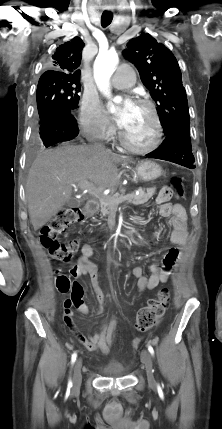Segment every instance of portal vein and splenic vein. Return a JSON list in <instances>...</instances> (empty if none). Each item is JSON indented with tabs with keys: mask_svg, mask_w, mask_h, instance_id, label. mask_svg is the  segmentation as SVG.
I'll return each instance as SVG.
<instances>
[{
	"mask_svg": "<svg viewBox=\"0 0 222 429\" xmlns=\"http://www.w3.org/2000/svg\"><path fill=\"white\" fill-rule=\"evenodd\" d=\"M75 187V185H72ZM79 188H81L82 190H85L86 192H88L89 194H91L92 196L96 197V198H101L102 196H104L103 193V189L101 188H97L95 187L93 184L89 183L88 181H82L78 184ZM131 198V195H125V196H120L117 200L116 203L119 204L125 200H129Z\"/></svg>",
	"mask_w": 222,
	"mask_h": 429,
	"instance_id": "18ae733b",
	"label": "portal vein and splenic vein"
}]
</instances>
